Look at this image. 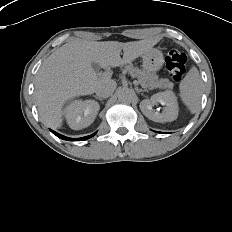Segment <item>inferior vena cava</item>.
<instances>
[{
    "instance_id": "obj_1",
    "label": "inferior vena cava",
    "mask_w": 232,
    "mask_h": 232,
    "mask_svg": "<svg viewBox=\"0 0 232 232\" xmlns=\"http://www.w3.org/2000/svg\"><path fill=\"white\" fill-rule=\"evenodd\" d=\"M116 82L113 80H104L100 83V85L97 87L95 93L97 96L101 98H107L111 96L116 89Z\"/></svg>"
}]
</instances>
